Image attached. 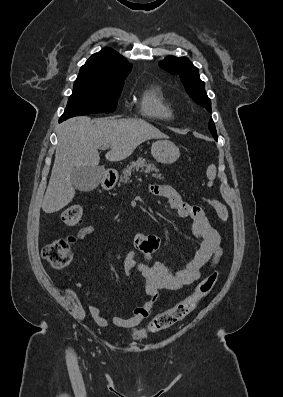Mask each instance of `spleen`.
<instances>
[{
  "label": "spleen",
  "mask_w": 283,
  "mask_h": 397,
  "mask_svg": "<svg viewBox=\"0 0 283 397\" xmlns=\"http://www.w3.org/2000/svg\"><path fill=\"white\" fill-rule=\"evenodd\" d=\"M206 174L209 179V186H211L216 177V166L214 164L209 165Z\"/></svg>",
  "instance_id": "obj_1"
}]
</instances>
